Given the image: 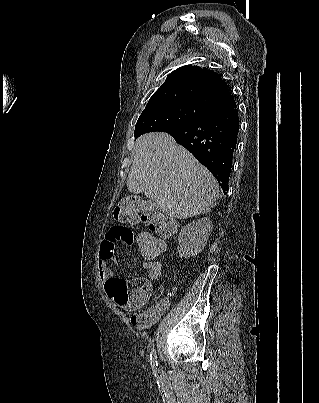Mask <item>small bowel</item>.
I'll return each mask as SVG.
<instances>
[{"mask_svg":"<svg viewBox=\"0 0 319 403\" xmlns=\"http://www.w3.org/2000/svg\"><path fill=\"white\" fill-rule=\"evenodd\" d=\"M134 237L135 230L131 229L130 224H110L109 229H104L103 235H99L97 266L99 277L105 282L106 294L112 304L116 309H121V315L128 319L130 329H138L139 334H144L145 328L155 324L165 313L169 302L160 300L145 308L153 292L150 284L158 278L161 271L158 258H143L149 269L147 279L117 278L109 267L119 249L133 245Z\"/></svg>","mask_w":319,"mask_h":403,"instance_id":"c3829d8e","label":"small bowel"}]
</instances>
